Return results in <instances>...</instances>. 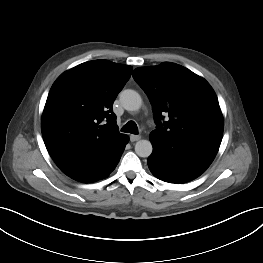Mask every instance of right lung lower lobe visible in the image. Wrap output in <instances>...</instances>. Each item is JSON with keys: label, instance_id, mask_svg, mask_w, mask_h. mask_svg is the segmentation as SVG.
I'll return each mask as SVG.
<instances>
[{"label": "right lung lower lobe", "instance_id": "right-lung-lower-lobe-1", "mask_svg": "<svg viewBox=\"0 0 263 263\" xmlns=\"http://www.w3.org/2000/svg\"><path fill=\"white\" fill-rule=\"evenodd\" d=\"M128 142L125 136L121 144L101 157L83 161L79 164L61 169L74 180L92 183L104 179L115 169Z\"/></svg>", "mask_w": 263, "mask_h": 263}]
</instances>
